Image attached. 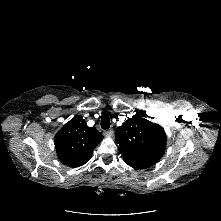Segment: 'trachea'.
Listing matches in <instances>:
<instances>
[{"mask_svg": "<svg viewBox=\"0 0 221 221\" xmlns=\"http://www.w3.org/2000/svg\"><path fill=\"white\" fill-rule=\"evenodd\" d=\"M110 118L107 114H104L101 118V128L102 129H109L110 127Z\"/></svg>", "mask_w": 221, "mask_h": 221, "instance_id": "trachea-1", "label": "trachea"}]
</instances>
